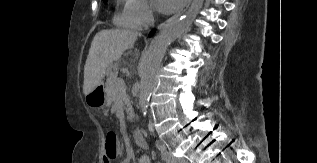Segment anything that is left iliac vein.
Masks as SVG:
<instances>
[{"label":"left iliac vein","mask_w":317,"mask_h":163,"mask_svg":"<svg viewBox=\"0 0 317 163\" xmlns=\"http://www.w3.org/2000/svg\"><path fill=\"white\" fill-rule=\"evenodd\" d=\"M169 163H177L175 159H172Z\"/></svg>","instance_id":"left-iliac-vein-1"}]
</instances>
